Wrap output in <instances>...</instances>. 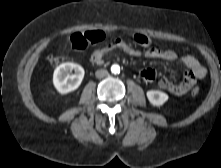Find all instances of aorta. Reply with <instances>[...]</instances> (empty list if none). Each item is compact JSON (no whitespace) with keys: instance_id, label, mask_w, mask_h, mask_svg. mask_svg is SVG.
<instances>
[{"instance_id":"obj_1","label":"aorta","mask_w":221,"mask_h":168,"mask_svg":"<svg viewBox=\"0 0 221 168\" xmlns=\"http://www.w3.org/2000/svg\"><path fill=\"white\" fill-rule=\"evenodd\" d=\"M111 72L114 74H119L120 73V66L118 64H113L111 66Z\"/></svg>"}]
</instances>
